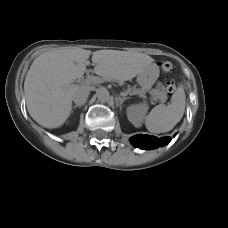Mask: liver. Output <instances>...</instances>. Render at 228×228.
<instances>
[{
  "instance_id": "liver-1",
  "label": "liver",
  "mask_w": 228,
  "mask_h": 228,
  "mask_svg": "<svg viewBox=\"0 0 228 228\" xmlns=\"http://www.w3.org/2000/svg\"><path fill=\"white\" fill-rule=\"evenodd\" d=\"M91 51L68 48L38 56L30 66L24 82V94L30 116L45 128H58L68 119L72 109L74 85L86 70ZM94 73L104 80L128 81L153 63L142 53L98 50L92 53Z\"/></svg>"
}]
</instances>
